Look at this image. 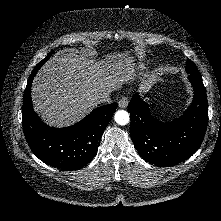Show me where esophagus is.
<instances>
[{"label": "esophagus", "instance_id": "34e87169", "mask_svg": "<svg viewBox=\"0 0 221 221\" xmlns=\"http://www.w3.org/2000/svg\"><path fill=\"white\" fill-rule=\"evenodd\" d=\"M118 106L120 108H126L128 106V99L127 97H122L119 101H118Z\"/></svg>", "mask_w": 221, "mask_h": 221}]
</instances>
